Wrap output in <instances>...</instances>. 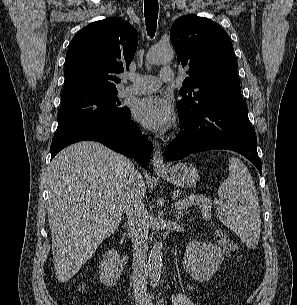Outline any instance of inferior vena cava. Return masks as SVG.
<instances>
[{
    "label": "inferior vena cava",
    "mask_w": 297,
    "mask_h": 305,
    "mask_svg": "<svg viewBox=\"0 0 297 305\" xmlns=\"http://www.w3.org/2000/svg\"><path fill=\"white\" fill-rule=\"evenodd\" d=\"M129 177L124 194V209L128 220V231L133 242L132 280L136 302L147 305L148 273V211L143 203V195L139 188L141 174L129 163Z\"/></svg>",
    "instance_id": "602c4592"
}]
</instances>
